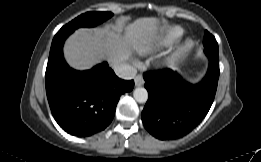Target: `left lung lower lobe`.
I'll return each instance as SVG.
<instances>
[{
	"label": "left lung lower lobe",
	"instance_id": "obj_1",
	"mask_svg": "<svg viewBox=\"0 0 261 162\" xmlns=\"http://www.w3.org/2000/svg\"><path fill=\"white\" fill-rule=\"evenodd\" d=\"M204 46L209 67L198 84L184 81L170 69L144 74L149 98L142 111V121L157 139L173 140L187 135L208 113L218 84L219 54L218 48Z\"/></svg>",
	"mask_w": 261,
	"mask_h": 162
}]
</instances>
